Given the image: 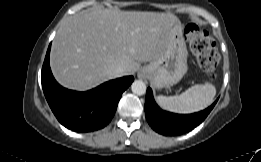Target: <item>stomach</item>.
<instances>
[{
    "instance_id": "0dacf381",
    "label": "stomach",
    "mask_w": 261,
    "mask_h": 162,
    "mask_svg": "<svg viewBox=\"0 0 261 162\" xmlns=\"http://www.w3.org/2000/svg\"><path fill=\"white\" fill-rule=\"evenodd\" d=\"M187 48L179 20L172 24L164 53L141 70L158 89L178 83L187 72Z\"/></svg>"
}]
</instances>
